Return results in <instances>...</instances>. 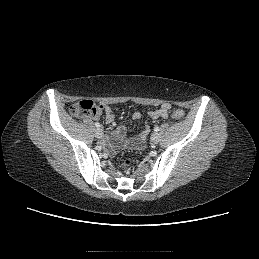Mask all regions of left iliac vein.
<instances>
[{
  "instance_id": "1",
  "label": "left iliac vein",
  "mask_w": 259,
  "mask_h": 259,
  "mask_svg": "<svg viewBox=\"0 0 259 259\" xmlns=\"http://www.w3.org/2000/svg\"><path fill=\"white\" fill-rule=\"evenodd\" d=\"M160 140V136L158 133H153L151 135V142L154 143V144H157Z\"/></svg>"
}]
</instances>
